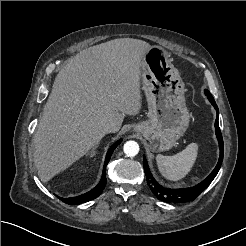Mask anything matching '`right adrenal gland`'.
Returning a JSON list of instances; mask_svg holds the SVG:
<instances>
[{"label": "right adrenal gland", "instance_id": "obj_1", "mask_svg": "<svg viewBox=\"0 0 246 246\" xmlns=\"http://www.w3.org/2000/svg\"><path fill=\"white\" fill-rule=\"evenodd\" d=\"M99 146V143H97L93 148L92 150L90 151V156L93 157L96 155V149L98 148Z\"/></svg>", "mask_w": 246, "mask_h": 246}]
</instances>
